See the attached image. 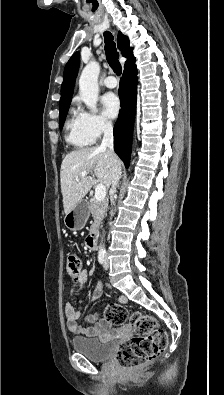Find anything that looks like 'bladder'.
<instances>
[{
    "mask_svg": "<svg viewBox=\"0 0 224 395\" xmlns=\"http://www.w3.org/2000/svg\"><path fill=\"white\" fill-rule=\"evenodd\" d=\"M73 349L94 362L106 361L111 356L114 342L97 338L75 337L71 341Z\"/></svg>",
    "mask_w": 224,
    "mask_h": 395,
    "instance_id": "1",
    "label": "bladder"
}]
</instances>
